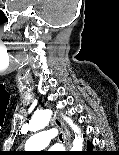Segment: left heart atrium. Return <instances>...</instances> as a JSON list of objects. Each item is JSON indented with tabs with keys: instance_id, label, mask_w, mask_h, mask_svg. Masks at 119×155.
Here are the masks:
<instances>
[{
	"instance_id": "39dd6f15",
	"label": "left heart atrium",
	"mask_w": 119,
	"mask_h": 155,
	"mask_svg": "<svg viewBox=\"0 0 119 155\" xmlns=\"http://www.w3.org/2000/svg\"><path fill=\"white\" fill-rule=\"evenodd\" d=\"M49 155H60L55 150L51 151Z\"/></svg>"
}]
</instances>
